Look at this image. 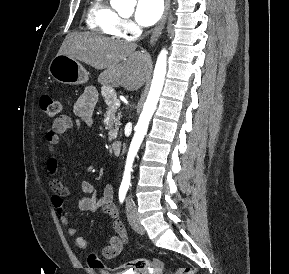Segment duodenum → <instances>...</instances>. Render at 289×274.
<instances>
[{
    "instance_id": "410a0bca",
    "label": "duodenum",
    "mask_w": 289,
    "mask_h": 274,
    "mask_svg": "<svg viewBox=\"0 0 289 274\" xmlns=\"http://www.w3.org/2000/svg\"><path fill=\"white\" fill-rule=\"evenodd\" d=\"M112 150L115 154H119L122 149V142L119 140H115L112 142Z\"/></svg>"
}]
</instances>
